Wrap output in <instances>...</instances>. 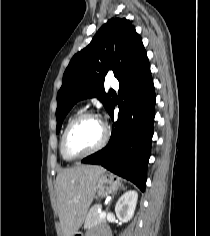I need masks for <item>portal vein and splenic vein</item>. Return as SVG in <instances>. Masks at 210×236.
Wrapping results in <instances>:
<instances>
[{
  "instance_id": "1",
  "label": "portal vein and splenic vein",
  "mask_w": 210,
  "mask_h": 236,
  "mask_svg": "<svg viewBox=\"0 0 210 236\" xmlns=\"http://www.w3.org/2000/svg\"><path fill=\"white\" fill-rule=\"evenodd\" d=\"M98 212L100 213V218H104L106 216L105 211H101V209H99Z\"/></svg>"
}]
</instances>
